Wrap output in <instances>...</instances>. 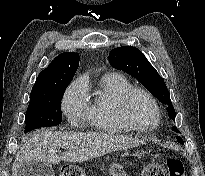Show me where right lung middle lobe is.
<instances>
[{"instance_id": "right-lung-middle-lobe-1", "label": "right lung middle lobe", "mask_w": 205, "mask_h": 176, "mask_svg": "<svg viewBox=\"0 0 205 176\" xmlns=\"http://www.w3.org/2000/svg\"><path fill=\"white\" fill-rule=\"evenodd\" d=\"M67 86H60L45 94L30 96L25 116V133L40 127L56 126L61 123V99Z\"/></svg>"}]
</instances>
